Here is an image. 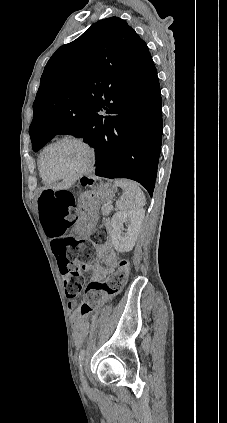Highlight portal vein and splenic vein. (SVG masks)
<instances>
[{
  "mask_svg": "<svg viewBox=\"0 0 227 423\" xmlns=\"http://www.w3.org/2000/svg\"><path fill=\"white\" fill-rule=\"evenodd\" d=\"M113 206H108L107 210H112Z\"/></svg>",
  "mask_w": 227,
  "mask_h": 423,
  "instance_id": "portal-vein-and-splenic-vein-1",
  "label": "portal vein and splenic vein"
}]
</instances>
